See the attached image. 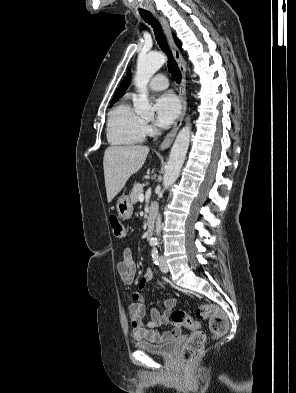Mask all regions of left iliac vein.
<instances>
[{
  "label": "left iliac vein",
  "mask_w": 296,
  "mask_h": 393,
  "mask_svg": "<svg viewBox=\"0 0 296 393\" xmlns=\"http://www.w3.org/2000/svg\"><path fill=\"white\" fill-rule=\"evenodd\" d=\"M159 267H160V270L164 273H167L169 271V268H168V265L166 263L164 256H160V258H159Z\"/></svg>",
  "instance_id": "1"
}]
</instances>
